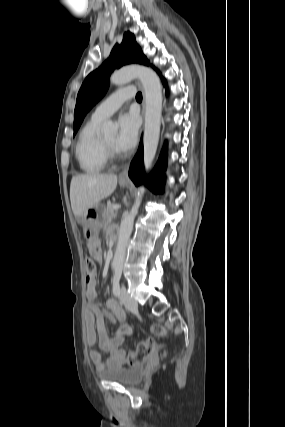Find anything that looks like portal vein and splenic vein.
<instances>
[{
	"label": "portal vein and splenic vein",
	"mask_w": 285,
	"mask_h": 427,
	"mask_svg": "<svg viewBox=\"0 0 285 427\" xmlns=\"http://www.w3.org/2000/svg\"><path fill=\"white\" fill-rule=\"evenodd\" d=\"M121 206L119 204H114L113 209L118 210Z\"/></svg>",
	"instance_id": "obj_1"
}]
</instances>
